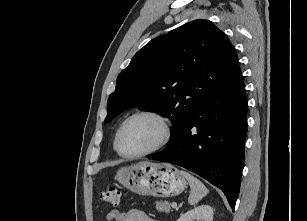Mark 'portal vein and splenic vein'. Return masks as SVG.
Returning a JSON list of instances; mask_svg holds the SVG:
<instances>
[{
  "label": "portal vein and splenic vein",
  "instance_id": "portal-vein-and-splenic-vein-1",
  "mask_svg": "<svg viewBox=\"0 0 307 221\" xmlns=\"http://www.w3.org/2000/svg\"><path fill=\"white\" fill-rule=\"evenodd\" d=\"M172 208H177V204L174 202L171 204Z\"/></svg>",
  "mask_w": 307,
  "mask_h": 221
}]
</instances>
